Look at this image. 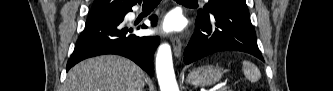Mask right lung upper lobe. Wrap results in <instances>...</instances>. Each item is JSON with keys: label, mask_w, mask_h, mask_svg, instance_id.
<instances>
[{"label": "right lung upper lobe", "mask_w": 333, "mask_h": 91, "mask_svg": "<svg viewBox=\"0 0 333 91\" xmlns=\"http://www.w3.org/2000/svg\"><path fill=\"white\" fill-rule=\"evenodd\" d=\"M142 0H94L90 16L123 13Z\"/></svg>", "instance_id": "right-lung-upper-lobe-1"}]
</instances>
